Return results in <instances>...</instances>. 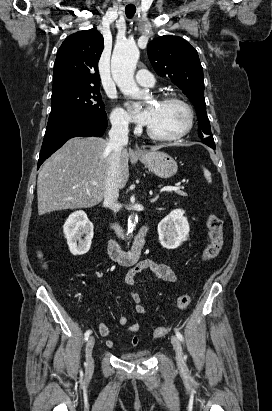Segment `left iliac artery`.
<instances>
[{
  "label": "left iliac artery",
  "instance_id": "obj_1",
  "mask_svg": "<svg viewBox=\"0 0 272 411\" xmlns=\"http://www.w3.org/2000/svg\"><path fill=\"white\" fill-rule=\"evenodd\" d=\"M175 333H176L177 338H178L180 341L183 342V336H182V334H181L178 330H175Z\"/></svg>",
  "mask_w": 272,
  "mask_h": 411
}]
</instances>
